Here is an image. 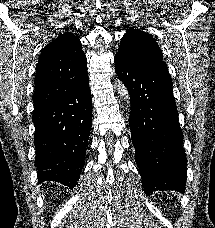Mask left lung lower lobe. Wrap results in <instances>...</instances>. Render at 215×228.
<instances>
[{"label": "left lung lower lobe", "instance_id": "left-lung-lower-lobe-1", "mask_svg": "<svg viewBox=\"0 0 215 228\" xmlns=\"http://www.w3.org/2000/svg\"><path fill=\"white\" fill-rule=\"evenodd\" d=\"M114 61L131 97L129 125L144 192L185 193L187 159L165 62L139 65L118 55Z\"/></svg>", "mask_w": 215, "mask_h": 228}]
</instances>
